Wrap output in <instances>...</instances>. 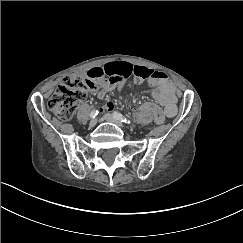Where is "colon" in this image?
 <instances>
[{"mask_svg":"<svg viewBox=\"0 0 243 243\" xmlns=\"http://www.w3.org/2000/svg\"><path fill=\"white\" fill-rule=\"evenodd\" d=\"M98 76L99 74L93 78H84L78 75L67 76L48 100V108L61 119L71 118L79 103L86 97L87 92L95 88L94 80ZM141 110L150 112L156 124L164 123V114L157 105L144 103Z\"/></svg>","mask_w":243,"mask_h":243,"instance_id":"obj_1","label":"colon"}]
</instances>
